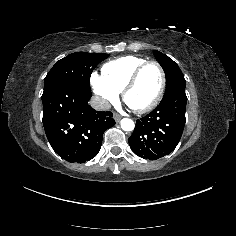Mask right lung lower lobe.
Returning a JSON list of instances; mask_svg holds the SVG:
<instances>
[{
  "label": "right lung lower lobe",
  "mask_w": 236,
  "mask_h": 236,
  "mask_svg": "<svg viewBox=\"0 0 236 236\" xmlns=\"http://www.w3.org/2000/svg\"><path fill=\"white\" fill-rule=\"evenodd\" d=\"M91 91L60 82L44 90L43 125L54 151L70 163L94 158L102 144V134L115 121L111 112L94 110L88 101Z\"/></svg>",
  "instance_id": "right-lung-lower-lobe-1"
}]
</instances>
